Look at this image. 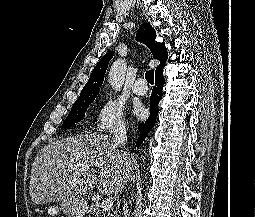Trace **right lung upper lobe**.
<instances>
[{
    "label": "right lung upper lobe",
    "mask_w": 255,
    "mask_h": 217,
    "mask_svg": "<svg viewBox=\"0 0 255 217\" xmlns=\"http://www.w3.org/2000/svg\"><path fill=\"white\" fill-rule=\"evenodd\" d=\"M155 39V30L149 23H143L137 32V40L144 42L150 48L153 57L160 61V65L156 68V74H158L163 71V67L166 63L167 50L164 43H159L155 41ZM113 55L114 51H110L100 59L80 95L99 91V87L103 83L108 63L112 59Z\"/></svg>",
    "instance_id": "right-lung-upper-lobe-1"
}]
</instances>
